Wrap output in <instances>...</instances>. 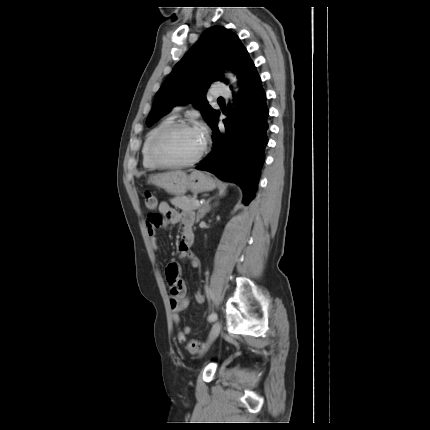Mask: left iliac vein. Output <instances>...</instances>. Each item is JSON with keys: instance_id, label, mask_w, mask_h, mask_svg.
Masks as SVG:
<instances>
[{"instance_id": "obj_1", "label": "left iliac vein", "mask_w": 430, "mask_h": 430, "mask_svg": "<svg viewBox=\"0 0 430 430\" xmlns=\"http://www.w3.org/2000/svg\"><path fill=\"white\" fill-rule=\"evenodd\" d=\"M220 330H221V323L219 321H217V322L214 323V325L212 327V330L210 332L207 345L205 346V350H207V348L209 347V345L217 338V336L220 333Z\"/></svg>"}]
</instances>
